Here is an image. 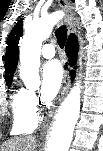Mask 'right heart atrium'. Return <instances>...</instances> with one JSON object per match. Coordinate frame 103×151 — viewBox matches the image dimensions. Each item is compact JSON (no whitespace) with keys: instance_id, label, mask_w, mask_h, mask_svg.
<instances>
[{"instance_id":"1","label":"right heart atrium","mask_w":103,"mask_h":151,"mask_svg":"<svg viewBox=\"0 0 103 151\" xmlns=\"http://www.w3.org/2000/svg\"><path fill=\"white\" fill-rule=\"evenodd\" d=\"M27 104L30 110L37 115L39 110V100L34 92L26 91Z\"/></svg>"}]
</instances>
